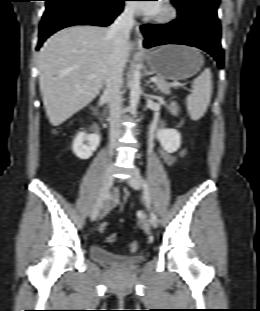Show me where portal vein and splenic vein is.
<instances>
[{
    "label": "portal vein and splenic vein",
    "instance_id": "obj_1",
    "mask_svg": "<svg viewBox=\"0 0 260 311\" xmlns=\"http://www.w3.org/2000/svg\"><path fill=\"white\" fill-rule=\"evenodd\" d=\"M95 76V74H91L90 75V77H94ZM152 82H157L158 81V79L156 78V77H152L151 79H150Z\"/></svg>",
    "mask_w": 260,
    "mask_h": 311
}]
</instances>
